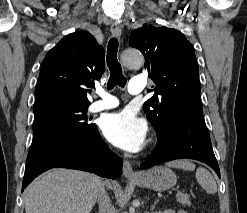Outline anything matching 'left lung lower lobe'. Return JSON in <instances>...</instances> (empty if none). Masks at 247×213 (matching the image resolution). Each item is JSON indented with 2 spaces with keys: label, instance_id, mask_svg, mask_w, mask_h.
I'll return each instance as SVG.
<instances>
[{
  "label": "left lung lower lobe",
  "instance_id": "obj_1",
  "mask_svg": "<svg viewBox=\"0 0 247 213\" xmlns=\"http://www.w3.org/2000/svg\"><path fill=\"white\" fill-rule=\"evenodd\" d=\"M158 143L142 169L175 159H195L212 167L220 177L219 166L203 116L181 112L170 117L156 131Z\"/></svg>",
  "mask_w": 247,
  "mask_h": 213
}]
</instances>
